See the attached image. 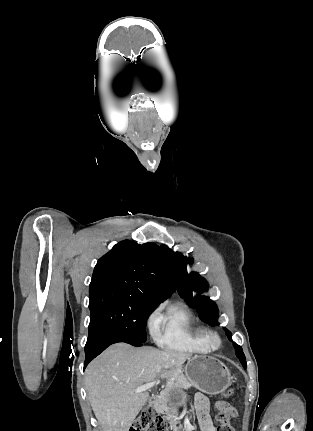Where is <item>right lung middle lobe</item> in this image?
Listing matches in <instances>:
<instances>
[{
    "label": "right lung middle lobe",
    "instance_id": "right-lung-middle-lobe-1",
    "mask_svg": "<svg viewBox=\"0 0 313 431\" xmlns=\"http://www.w3.org/2000/svg\"><path fill=\"white\" fill-rule=\"evenodd\" d=\"M159 302L122 291H108L90 297L89 337L101 331L124 334L146 341V323Z\"/></svg>",
    "mask_w": 313,
    "mask_h": 431
}]
</instances>
